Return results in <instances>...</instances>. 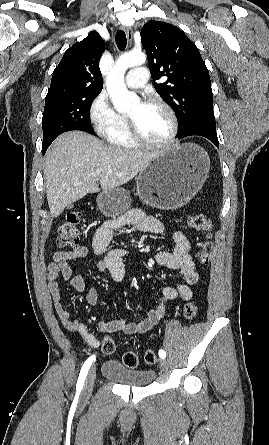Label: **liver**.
<instances>
[{
	"mask_svg": "<svg viewBox=\"0 0 269 445\" xmlns=\"http://www.w3.org/2000/svg\"><path fill=\"white\" fill-rule=\"evenodd\" d=\"M160 152L107 146L80 131L59 136L46 153L44 169L52 217L100 187L105 191L126 184Z\"/></svg>",
	"mask_w": 269,
	"mask_h": 445,
	"instance_id": "6515ba94",
	"label": "liver"
}]
</instances>
